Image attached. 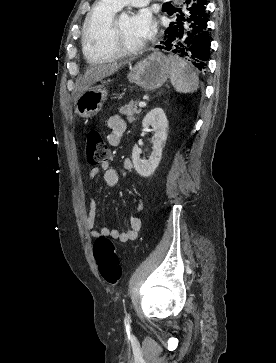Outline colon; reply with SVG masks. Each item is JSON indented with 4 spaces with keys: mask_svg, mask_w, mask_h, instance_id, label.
<instances>
[{
    "mask_svg": "<svg viewBox=\"0 0 276 363\" xmlns=\"http://www.w3.org/2000/svg\"><path fill=\"white\" fill-rule=\"evenodd\" d=\"M86 155L91 165H102L108 159V147L98 130H90L87 134ZM93 255L102 278L109 284H116L121 278L122 269L114 243L107 237L97 238Z\"/></svg>",
    "mask_w": 276,
    "mask_h": 363,
    "instance_id": "5ec220e1",
    "label": "colon"
}]
</instances>
